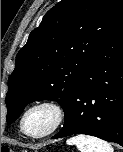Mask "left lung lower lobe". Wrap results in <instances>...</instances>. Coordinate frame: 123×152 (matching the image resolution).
<instances>
[{
  "mask_svg": "<svg viewBox=\"0 0 123 152\" xmlns=\"http://www.w3.org/2000/svg\"><path fill=\"white\" fill-rule=\"evenodd\" d=\"M52 139L86 134L123 146V4L88 62Z\"/></svg>",
  "mask_w": 123,
  "mask_h": 152,
  "instance_id": "1",
  "label": "left lung lower lobe"
}]
</instances>
